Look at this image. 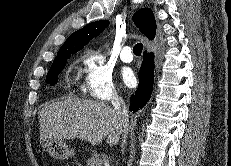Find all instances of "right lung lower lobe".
<instances>
[{
	"label": "right lung lower lobe",
	"instance_id": "1",
	"mask_svg": "<svg viewBox=\"0 0 231 166\" xmlns=\"http://www.w3.org/2000/svg\"><path fill=\"white\" fill-rule=\"evenodd\" d=\"M154 83V54L144 52L143 62L139 72V85L130 97L129 110L137 112L150 99Z\"/></svg>",
	"mask_w": 231,
	"mask_h": 166
}]
</instances>
